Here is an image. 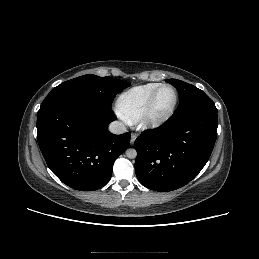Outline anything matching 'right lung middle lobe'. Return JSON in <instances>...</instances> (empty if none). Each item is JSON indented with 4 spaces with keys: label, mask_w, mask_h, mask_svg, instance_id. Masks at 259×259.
Returning a JSON list of instances; mask_svg holds the SVG:
<instances>
[{
    "label": "right lung middle lobe",
    "mask_w": 259,
    "mask_h": 259,
    "mask_svg": "<svg viewBox=\"0 0 259 259\" xmlns=\"http://www.w3.org/2000/svg\"><path fill=\"white\" fill-rule=\"evenodd\" d=\"M130 85L111 77L84 75L66 81L53 88L41 104V108L61 99L78 98L96 105L111 108L116 94Z\"/></svg>",
    "instance_id": "1"
}]
</instances>
